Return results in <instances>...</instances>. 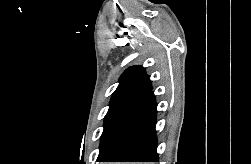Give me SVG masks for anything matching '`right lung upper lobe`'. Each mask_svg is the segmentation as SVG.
Listing matches in <instances>:
<instances>
[{
	"label": "right lung upper lobe",
	"instance_id": "right-lung-upper-lobe-1",
	"mask_svg": "<svg viewBox=\"0 0 251 164\" xmlns=\"http://www.w3.org/2000/svg\"><path fill=\"white\" fill-rule=\"evenodd\" d=\"M152 89L149 76L142 66H133L128 68L120 77L118 91H138L146 92Z\"/></svg>",
	"mask_w": 251,
	"mask_h": 164
}]
</instances>
